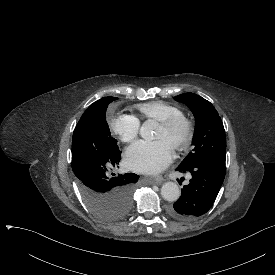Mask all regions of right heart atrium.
<instances>
[{"label": "right heart atrium", "mask_w": 275, "mask_h": 275, "mask_svg": "<svg viewBox=\"0 0 275 275\" xmlns=\"http://www.w3.org/2000/svg\"><path fill=\"white\" fill-rule=\"evenodd\" d=\"M110 130L122 143L132 145L138 139L140 124L134 116L121 114L111 119Z\"/></svg>", "instance_id": "1"}]
</instances>
